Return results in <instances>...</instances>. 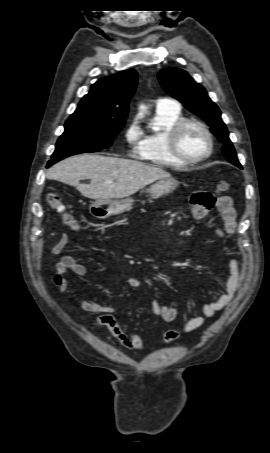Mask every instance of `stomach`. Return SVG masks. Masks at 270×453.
Returning <instances> with one entry per match:
<instances>
[{"label": "stomach", "instance_id": "obj_1", "mask_svg": "<svg viewBox=\"0 0 270 453\" xmlns=\"http://www.w3.org/2000/svg\"><path fill=\"white\" fill-rule=\"evenodd\" d=\"M178 186V182L174 178H163L157 181L150 187V193L154 197L166 195ZM132 199H98L93 202L89 211L92 216L98 219H106L113 215H119L132 208Z\"/></svg>", "mask_w": 270, "mask_h": 453}]
</instances>
